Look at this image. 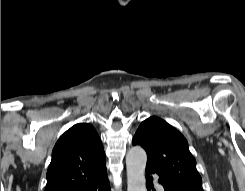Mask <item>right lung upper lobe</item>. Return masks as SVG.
Instances as JSON below:
<instances>
[{"label": "right lung upper lobe", "mask_w": 245, "mask_h": 191, "mask_svg": "<svg viewBox=\"0 0 245 191\" xmlns=\"http://www.w3.org/2000/svg\"><path fill=\"white\" fill-rule=\"evenodd\" d=\"M46 177L45 191H74L107 177L104 149L92 125L75 124L61 136Z\"/></svg>", "instance_id": "cb5924a9"}]
</instances>
